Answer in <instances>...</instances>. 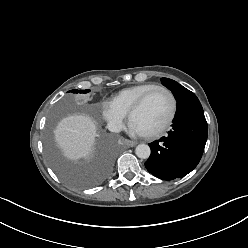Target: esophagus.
<instances>
[{
  "label": "esophagus",
  "instance_id": "esophagus-1",
  "mask_svg": "<svg viewBox=\"0 0 248 248\" xmlns=\"http://www.w3.org/2000/svg\"><path fill=\"white\" fill-rule=\"evenodd\" d=\"M124 143H125V145L128 146V147H134V146L137 145V142L131 141V140H128V139H124Z\"/></svg>",
  "mask_w": 248,
  "mask_h": 248
}]
</instances>
